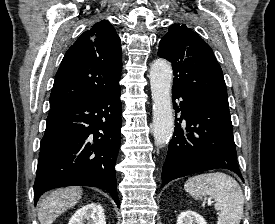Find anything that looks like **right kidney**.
Listing matches in <instances>:
<instances>
[{"label":"right kidney","mask_w":275,"mask_h":224,"mask_svg":"<svg viewBox=\"0 0 275 224\" xmlns=\"http://www.w3.org/2000/svg\"><path fill=\"white\" fill-rule=\"evenodd\" d=\"M68 224H106L104 208L96 203L87 204L74 213Z\"/></svg>","instance_id":"ca27d5eb"}]
</instances>
